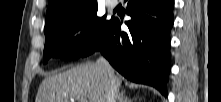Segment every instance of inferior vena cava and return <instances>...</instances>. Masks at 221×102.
<instances>
[{
	"label": "inferior vena cava",
	"mask_w": 221,
	"mask_h": 102,
	"mask_svg": "<svg viewBox=\"0 0 221 102\" xmlns=\"http://www.w3.org/2000/svg\"><path fill=\"white\" fill-rule=\"evenodd\" d=\"M97 64L104 67L107 70V73L109 76V80H108L109 89L107 92L106 102H116V98L118 96V88L116 85L114 72H113L111 66L109 65L108 61L103 57H100L97 60Z\"/></svg>",
	"instance_id": "1"
}]
</instances>
